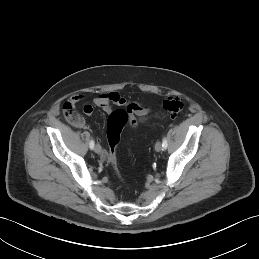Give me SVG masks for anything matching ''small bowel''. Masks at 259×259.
Returning <instances> with one entry per match:
<instances>
[{
  "mask_svg": "<svg viewBox=\"0 0 259 259\" xmlns=\"http://www.w3.org/2000/svg\"><path fill=\"white\" fill-rule=\"evenodd\" d=\"M82 98L81 95H76L73 97L74 101H79ZM93 104L102 109L105 112H111L113 105L122 106L129 113L130 124L132 127L138 126L140 123L144 122L150 117V109L143 103L138 101H130L124 98L121 94L116 91L104 92L96 95L93 98ZM86 115H91L93 112V107L87 104L83 108ZM79 128H87L84 120L76 125ZM104 153L102 158L104 159Z\"/></svg>",
  "mask_w": 259,
  "mask_h": 259,
  "instance_id": "c3829d8e",
  "label": "small bowel"
}]
</instances>
